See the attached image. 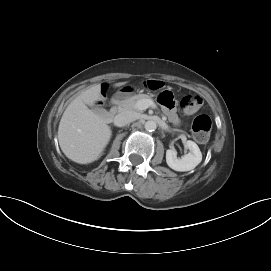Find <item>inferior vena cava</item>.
<instances>
[{"mask_svg":"<svg viewBox=\"0 0 271 271\" xmlns=\"http://www.w3.org/2000/svg\"><path fill=\"white\" fill-rule=\"evenodd\" d=\"M136 114L131 111H124L115 116V125L122 127L136 120Z\"/></svg>","mask_w":271,"mask_h":271,"instance_id":"obj_1","label":"inferior vena cava"}]
</instances>
